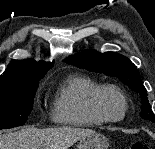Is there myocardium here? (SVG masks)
I'll return each mask as SVG.
<instances>
[{
	"label": "myocardium",
	"instance_id": "myocardium-1",
	"mask_svg": "<svg viewBox=\"0 0 155 149\" xmlns=\"http://www.w3.org/2000/svg\"><path fill=\"white\" fill-rule=\"evenodd\" d=\"M106 92L115 93L121 98L123 102V111L119 117H111L104 111L102 104H101V97ZM91 103H92V107L95 113L102 120H104L105 122H109V123H116V122L122 121L126 117L128 113V109H129V103H128V99L125 93L118 86L113 85V84L99 85L91 96Z\"/></svg>",
	"mask_w": 155,
	"mask_h": 149
}]
</instances>
